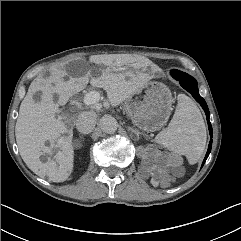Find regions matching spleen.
<instances>
[{
  "mask_svg": "<svg viewBox=\"0 0 241 241\" xmlns=\"http://www.w3.org/2000/svg\"><path fill=\"white\" fill-rule=\"evenodd\" d=\"M178 104L168 127L155 137V142L175 154L185 155L190 164H195L206 146V126L194 101L179 94Z\"/></svg>",
  "mask_w": 241,
  "mask_h": 241,
  "instance_id": "1",
  "label": "spleen"
}]
</instances>
